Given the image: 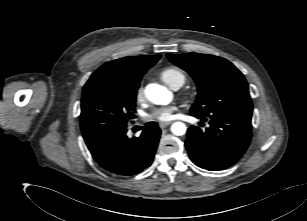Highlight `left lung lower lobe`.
Masks as SVG:
<instances>
[{
	"label": "left lung lower lobe",
	"mask_w": 307,
	"mask_h": 221,
	"mask_svg": "<svg viewBox=\"0 0 307 221\" xmlns=\"http://www.w3.org/2000/svg\"><path fill=\"white\" fill-rule=\"evenodd\" d=\"M251 117L252 113L240 111L218 112L208 117L210 127L205 131L196 126L189 128L185 146L191 161L210 171L234 165L250 144Z\"/></svg>",
	"instance_id": "left-lung-lower-lobe-1"
}]
</instances>
